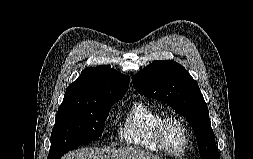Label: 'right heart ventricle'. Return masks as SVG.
I'll list each match as a JSON object with an SVG mask.
<instances>
[{"mask_svg": "<svg viewBox=\"0 0 253 159\" xmlns=\"http://www.w3.org/2000/svg\"><path fill=\"white\" fill-rule=\"evenodd\" d=\"M163 116L160 110L147 103H134L119 124V140L140 149L161 151L155 140V128Z\"/></svg>", "mask_w": 253, "mask_h": 159, "instance_id": "1", "label": "right heart ventricle"}]
</instances>
